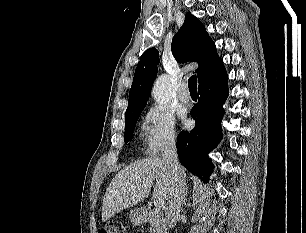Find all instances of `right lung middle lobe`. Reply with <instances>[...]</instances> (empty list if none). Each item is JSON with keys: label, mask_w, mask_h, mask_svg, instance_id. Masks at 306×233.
<instances>
[{"label": "right lung middle lobe", "mask_w": 306, "mask_h": 233, "mask_svg": "<svg viewBox=\"0 0 306 233\" xmlns=\"http://www.w3.org/2000/svg\"><path fill=\"white\" fill-rule=\"evenodd\" d=\"M142 110L137 111L125 117V133H124L125 143L132 140L134 127L136 125L137 119L140 116Z\"/></svg>", "instance_id": "right-lung-middle-lobe-1"}]
</instances>
